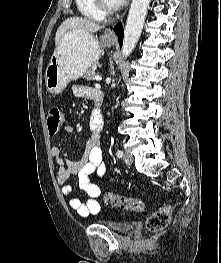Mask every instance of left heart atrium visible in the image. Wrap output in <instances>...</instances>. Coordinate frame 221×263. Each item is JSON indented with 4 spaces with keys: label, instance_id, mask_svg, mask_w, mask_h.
<instances>
[{
    "label": "left heart atrium",
    "instance_id": "39dd6f15",
    "mask_svg": "<svg viewBox=\"0 0 221 263\" xmlns=\"http://www.w3.org/2000/svg\"><path fill=\"white\" fill-rule=\"evenodd\" d=\"M117 5L122 4L125 0H114Z\"/></svg>",
    "mask_w": 221,
    "mask_h": 263
}]
</instances>
